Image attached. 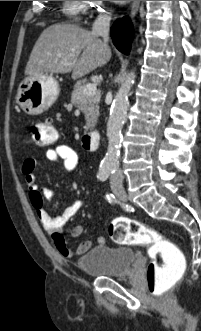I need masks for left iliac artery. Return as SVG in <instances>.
<instances>
[{"instance_id": "left-iliac-artery-1", "label": "left iliac artery", "mask_w": 201, "mask_h": 331, "mask_svg": "<svg viewBox=\"0 0 201 331\" xmlns=\"http://www.w3.org/2000/svg\"><path fill=\"white\" fill-rule=\"evenodd\" d=\"M110 173H114V171H102L101 173H99V175H98V178L100 179V180H105L108 176H109V174Z\"/></svg>"}]
</instances>
